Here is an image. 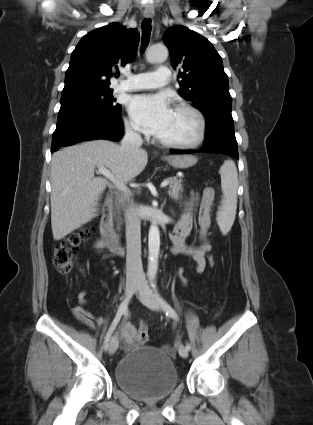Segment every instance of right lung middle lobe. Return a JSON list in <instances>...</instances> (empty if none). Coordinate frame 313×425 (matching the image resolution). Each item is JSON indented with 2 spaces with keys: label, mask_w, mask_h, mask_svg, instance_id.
<instances>
[{
  "label": "right lung middle lobe",
  "mask_w": 313,
  "mask_h": 425,
  "mask_svg": "<svg viewBox=\"0 0 313 425\" xmlns=\"http://www.w3.org/2000/svg\"><path fill=\"white\" fill-rule=\"evenodd\" d=\"M112 92L113 90L110 88L82 89L62 94L61 100L67 98L82 99L108 109H121L120 104L114 103L115 99L112 96Z\"/></svg>",
  "instance_id": "dd1d6c3e"
}]
</instances>
